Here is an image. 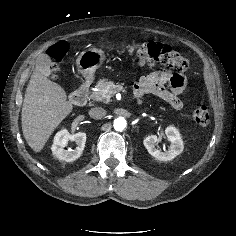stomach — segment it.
<instances>
[{
  "mask_svg": "<svg viewBox=\"0 0 236 236\" xmlns=\"http://www.w3.org/2000/svg\"><path fill=\"white\" fill-rule=\"evenodd\" d=\"M106 56L103 50L92 48L81 52L76 59V66L80 74L91 77L101 67Z\"/></svg>",
  "mask_w": 236,
  "mask_h": 236,
  "instance_id": "1",
  "label": "stomach"
}]
</instances>
